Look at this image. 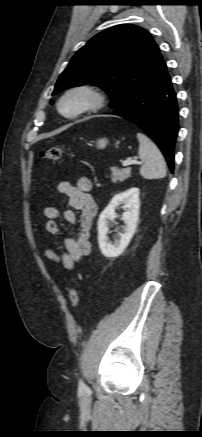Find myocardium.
Instances as JSON below:
<instances>
[{"label":"myocardium","instance_id":"myocardium-1","mask_svg":"<svg viewBox=\"0 0 202 437\" xmlns=\"http://www.w3.org/2000/svg\"><path fill=\"white\" fill-rule=\"evenodd\" d=\"M74 95L82 96L84 98V104L74 112H64V102ZM104 103L105 97L98 89L91 85L80 84L67 89L61 95L57 103V110L63 117L67 119H76L83 115L99 110L104 105Z\"/></svg>","mask_w":202,"mask_h":437}]
</instances>
